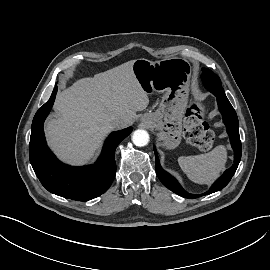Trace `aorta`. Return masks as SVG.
<instances>
[{
  "label": "aorta",
  "instance_id": "1",
  "mask_svg": "<svg viewBox=\"0 0 270 270\" xmlns=\"http://www.w3.org/2000/svg\"><path fill=\"white\" fill-rule=\"evenodd\" d=\"M132 141L136 146H146L149 142V134L146 130L138 129L133 133Z\"/></svg>",
  "mask_w": 270,
  "mask_h": 270
}]
</instances>
